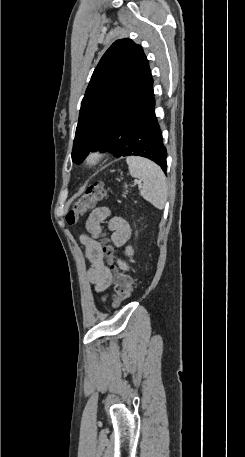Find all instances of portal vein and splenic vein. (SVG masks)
Returning a JSON list of instances; mask_svg holds the SVG:
<instances>
[{
    "instance_id": "18ae733b",
    "label": "portal vein and splenic vein",
    "mask_w": 245,
    "mask_h": 457,
    "mask_svg": "<svg viewBox=\"0 0 245 457\" xmlns=\"http://www.w3.org/2000/svg\"><path fill=\"white\" fill-rule=\"evenodd\" d=\"M134 184H141V180H137V178H135Z\"/></svg>"
}]
</instances>
